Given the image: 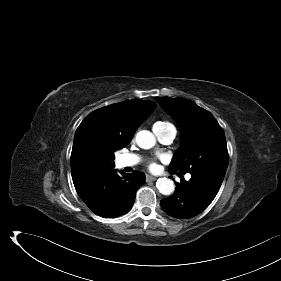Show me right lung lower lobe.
Masks as SVG:
<instances>
[{"label":"right lung lower lobe","mask_w":281,"mask_h":281,"mask_svg":"<svg viewBox=\"0 0 281 281\" xmlns=\"http://www.w3.org/2000/svg\"><path fill=\"white\" fill-rule=\"evenodd\" d=\"M120 173L122 177L113 168L76 189L95 214L104 218L117 217L133 206L136 191L145 183V174L140 171Z\"/></svg>","instance_id":"obj_1"}]
</instances>
